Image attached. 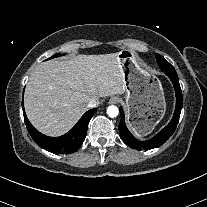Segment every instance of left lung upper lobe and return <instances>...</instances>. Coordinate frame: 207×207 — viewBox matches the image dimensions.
I'll return each instance as SVG.
<instances>
[{
  "label": "left lung upper lobe",
  "mask_w": 207,
  "mask_h": 207,
  "mask_svg": "<svg viewBox=\"0 0 207 207\" xmlns=\"http://www.w3.org/2000/svg\"><path fill=\"white\" fill-rule=\"evenodd\" d=\"M155 55L160 69L164 70L167 68H173V66L168 61H166L162 56H160L159 54H155Z\"/></svg>",
  "instance_id": "5c2ea615"
}]
</instances>
